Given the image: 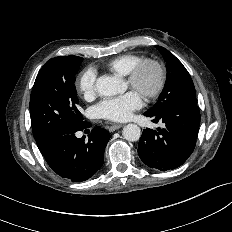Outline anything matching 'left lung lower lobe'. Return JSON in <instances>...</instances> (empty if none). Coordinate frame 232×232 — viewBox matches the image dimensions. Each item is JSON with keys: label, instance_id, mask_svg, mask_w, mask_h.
Listing matches in <instances>:
<instances>
[{"label": "left lung lower lobe", "instance_id": "left-lung-lower-lobe-1", "mask_svg": "<svg viewBox=\"0 0 232 232\" xmlns=\"http://www.w3.org/2000/svg\"><path fill=\"white\" fill-rule=\"evenodd\" d=\"M154 123L162 121L158 131L146 128L140 138L138 155L148 167L160 171L180 167L192 154L200 125L196 104L180 101L159 112L144 113Z\"/></svg>", "mask_w": 232, "mask_h": 232}]
</instances>
